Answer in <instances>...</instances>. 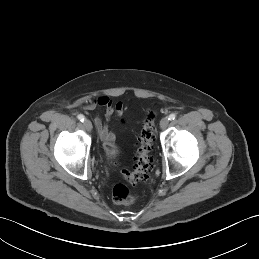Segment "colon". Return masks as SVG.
<instances>
[{"label":"colon","mask_w":259,"mask_h":259,"mask_svg":"<svg viewBox=\"0 0 259 259\" xmlns=\"http://www.w3.org/2000/svg\"><path fill=\"white\" fill-rule=\"evenodd\" d=\"M155 119L156 113L153 110H148L142 131L138 137L134 169L122 171L123 178L132 186L144 180L151 170L152 158L150 152L155 142ZM112 199L117 204H128L134 202L136 196L131 193L126 185L116 184L112 190Z\"/></svg>","instance_id":"1"}]
</instances>
